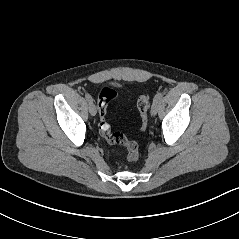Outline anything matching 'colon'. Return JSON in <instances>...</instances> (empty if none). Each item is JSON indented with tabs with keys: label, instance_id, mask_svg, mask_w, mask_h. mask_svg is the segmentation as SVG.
<instances>
[{
	"label": "colon",
	"instance_id": "colon-1",
	"mask_svg": "<svg viewBox=\"0 0 239 239\" xmlns=\"http://www.w3.org/2000/svg\"><path fill=\"white\" fill-rule=\"evenodd\" d=\"M115 96L116 91L111 88H104L98 96L99 131L108 143L124 146L128 151V161L136 162L139 157L138 144L133 140H129L123 133L113 132L106 118L108 103ZM137 108L141 117V130H145L148 123L149 98L147 96L139 97Z\"/></svg>",
	"mask_w": 239,
	"mask_h": 239
}]
</instances>
